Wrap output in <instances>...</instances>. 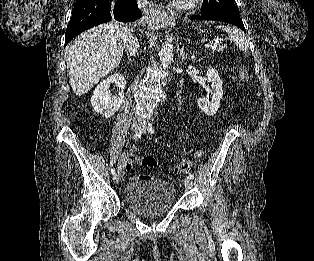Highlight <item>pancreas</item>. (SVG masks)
<instances>
[{
  "mask_svg": "<svg viewBox=\"0 0 314 261\" xmlns=\"http://www.w3.org/2000/svg\"><path fill=\"white\" fill-rule=\"evenodd\" d=\"M225 48V45H220L216 51L220 52V51H223V49Z\"/></svg>",
  "mask_w": 314,
  "mask_h": 261,
  "instance_id": "cf45deb5",
  "label": "pancreas"
}]
</instances>
